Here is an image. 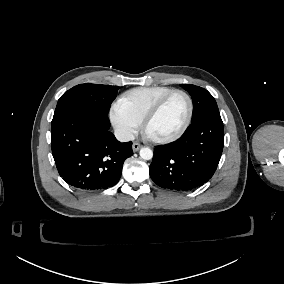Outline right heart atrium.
<instances>
[{
  "instance_id": "right-heart-atrium-1",
  "label": "right heart atrium",
  "mask_w": 284,
  "mask_h": 284,
  "mask_svg": "<svg viewBox=\"0 0 284 284\" xmlns=\"http://www.w3.org/2000/svg\"><path fill=\"white\" fill-rule=\"evenodd\" d=\"M109 118L114 131L121 139L128 141L137 135L140 125L132 116L113 106L110 109Z\"/></svg>"
}]
</instances>
